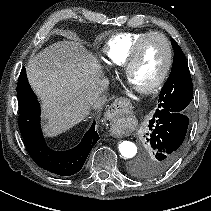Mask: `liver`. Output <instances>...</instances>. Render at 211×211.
I'll return each mask as SVG.
<instances>
[{
	"mask_svg": "<svg viewBox=\"0 0 211 211\" xmlns=\"http://www.w3.org/2000/svg\"><path fill=\"white\" fill-rule=\"evenodd\" d=\"M27 77L41 99L47 137L77 125L93 104L100 108L105 101L108 82L104 85L97 59L79 42L60 41L40 51L29 60Z\"/></svg>",
	"mask_w": 211,
	"mask_h": 211,
	"instance_id": "obj_1",
	"label": "liver"
}]
</instances>
